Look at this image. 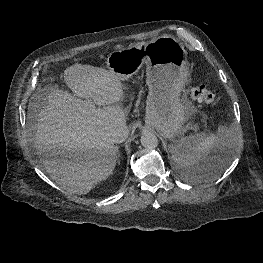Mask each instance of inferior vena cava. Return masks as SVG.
Masks as SVG:
<instances>
[{
	"mask_svg": "<svg viewBox=\"0 0 263 263\" xmlns=\"http://www.w3.org/2000/svg\"><path fill=\"white\" fill-rule=\"evenodd\" d=\"M129 131L126 126L116 128L111 133V140L113 143H122L128 137Z\"/></svg>",
	"mask_w": 263,
	"mask_h": 263,
	"instance_id": "602c4592",
	"label": "inferior vena cava"
}]
</instances>
